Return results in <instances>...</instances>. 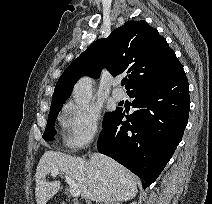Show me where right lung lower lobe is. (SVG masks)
<instances>
[{"label": "right lung lower lobe", "instance_id": "1", "mask_svg": "<svg viewBox=\"0 0 212 204\" xmlns=\"http://www.w3.org/2000/svg\"><path fill=\"white\" fill-rule=\"evenodd\" d=\"M128 95L137 110L125 116L117 109L100 133L97 147L141 178L145 189L158 178L182 139L190 107L189 85L182 68ZM124 116L127 121L122 122Z\"/></svg>", "mask_w": 212, "mask_h": 204}]
</instances>
